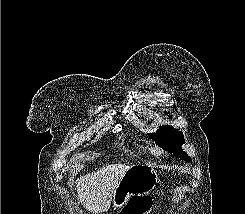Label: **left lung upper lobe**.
Wrapping results in <instances>:
<instances>
[{"label":"left lung upper lobe","instance_id":"1","mask_svg":"<svg viewBox=\"0 0 245 214\" xmlns=\"http://www.w3.org/2000/svg\"><path fill=\"white\" fill-rule=\"evenodd\" d=\"M159 128L156 133L148 134L150 138L175 157L191 162V158L181 148V145L184 143L183 133L168 125L160 126Z\"/></svg>","mask_w":245,"mask_h":214}]
</instances>
